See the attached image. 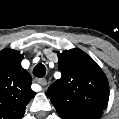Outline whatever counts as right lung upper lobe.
I'll use <instances>...</instances> for the list:
<instances>
[{
    "label": "right lung upper lobe",
    "mask_w": 119,
    "mask_h": 119,
    "mask_svg": "<svg viewBox=\"0 0 119 119\" xmlns=\"http://www.w3.org/2000/svg\"><path fill=\"white\" fill-rule=\"evenodd\" d=\"M22 59L19 51H0V119H21L35 96L31 76L21 67Z\"/></svg>",
    "instance_id": "1"
}]
</instances>
